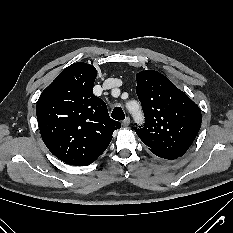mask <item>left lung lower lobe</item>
I'll return each instance as SVG.
<instances>
[{"mask_svg": "<svg viewBox=\"0 0 233 233\" xmlns=\"http://www.w3.org/2000/svg\"><path fill=\"white\" fill-rule=\"evenodd\" d=\"M150 151L153 152L156 156L161 157V158H164V159L172 160V159L178 158V157H175V156H171V155H167V154L158 153V152H155V151H153V150H150Z\"/></svg>", "mask_w": 233, "mask_h": 233, "instance_id": "left-lung-lower-lobe-1", "label": "left lung lower lobe"}]
</instances>
